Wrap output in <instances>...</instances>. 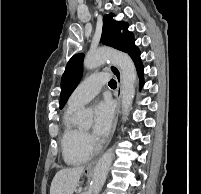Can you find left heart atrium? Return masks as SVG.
<instances>
[{
    "label": "left heart atrium",
    "mask_w": 201,
    "mask_h": 194,
    "mask_svg": "<svg viewBox=\"0 0 201 194\" xmlns=\"http://www.w3.org/2000/svg\"><path fill=\"white\" fill-rule=\"evenodd\" d=\"M114 118V106L109 100H102L94 106L93 133L96 137H105L111 129Z\"/></svg>",
    "instance_id": "39dd6f15"
}]
</instances>
